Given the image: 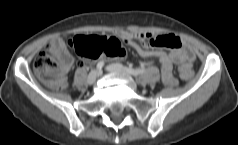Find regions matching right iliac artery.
I'll return each instance as SVG.
<instances>
[{
  "label": "right iliac artery",
  "mask_w": 238,
  "mask_h": 145,
  "mask_svg": "<svg viewBox=\"0 0 238 145\" xmlns=\"http://www.w3.org/2000/svg\"><path fill=\"white\" fill-rule=\"evenodd\" d=\"M103 67H104V62L103 61L98 62L96 66L97 70H101Z\"/></svg>",
  "instance_id": "right-iliac-artery-1"
}]
</instances>
